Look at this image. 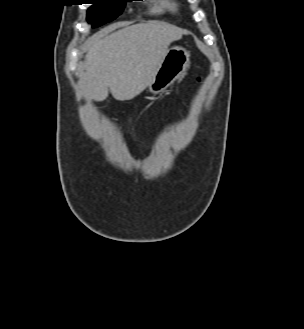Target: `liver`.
<instances>
[{"label":"liver","mask_w":304,"mask_h":329,"mask_svg":"<svg viewBox=\"0 0 304 329\" xmlns=\"http://www.w3.org/2000/svg\"><path fill=\"white\" fill-rule=\"evenodd\" d=\"M108 30L93 39L85 56L82 75L86 96L118 101L139 95L152 82L169 45L179 40L183 30L162 21Z\"/></svg>","instance_id":"obj_1"}]
</instances>
